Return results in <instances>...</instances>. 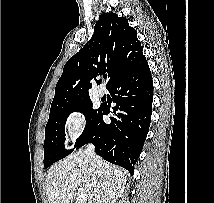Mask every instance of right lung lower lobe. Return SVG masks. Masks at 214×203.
I'll return each mask as SVG.
<instances>
[{"label":"right lung lower lobe","mask_w":214,"mask_h":203,"mask_svg":"<svg viewBox=\"0 0 214 203\" xmlns=\"http://www.w3.org/2000/svg\"><path fill=\"white\" fill-rule=\"evenodd\" d=\"M108 90L116 106L110 111L101 105L93 128L76 148L93 143L98 155L133 174L151 122L153 82L148 63L117 79ZM110 112L111 122L105 123L102 117Z\"/></svg>","instance_id":"1"}]
</instances>
